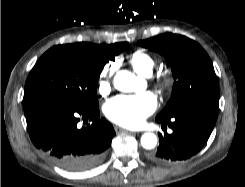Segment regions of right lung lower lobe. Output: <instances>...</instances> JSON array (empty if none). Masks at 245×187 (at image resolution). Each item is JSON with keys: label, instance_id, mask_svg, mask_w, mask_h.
Returning a JSON list of instances; mask_svg holds the SVG:
<instances>
[{"label": "right lung lower lobe", "instance_id": "right-lung-lower-lobe-1", "mask_svg": "<svg viewBox=\"0 0 245 187\" xmlns=\"http://www.w3.org/2000/svg\"><path fill=\"white\" fill-rule=\"evenodd\" d=\"M99 110L66 103H45L25 111L33 144L53 163L68 171H84L99 164L115 131ZM90 120L78 127L80 120Z\"/></svg>", "mask_w": 245, "mask_h": 187}]
</instances>
